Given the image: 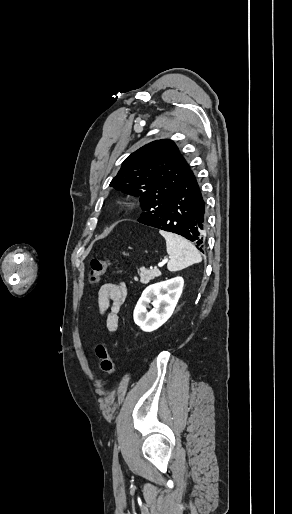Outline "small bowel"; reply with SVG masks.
I'll list each match as a JSON object with an SVG mask.
<instances>
[{"mask_svg":"<svg viewBox=\"0 0 292 514\" xmlns=\"http://www.w3.org/2000/svg\"><path fill=\"white\" fill-rule=\"evenodd\" d=\"M126 293L123 283H104L99 289V313L105 317L106 328L111 334L118 329L119 313L125 302Z\"/></svg>","mask_w":292,"mask_h":514,"instance_id":"c3829d8e","label":"small bowel"}]
</instances>
